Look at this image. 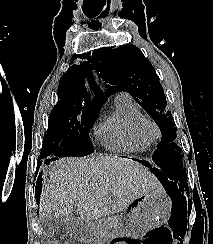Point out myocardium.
<instances>
[{
  "label": "myocardium",
  "instance_id": "f54148a6",
  "mask_svg": "<svg viewBox=\"0 0 213 244\" xmlns=\"http://www.w3.org/2000/svg\"><path fill=\"white\" fill-rule=\"evenodd\" d=\"M137 131L141 137L151 143L158 142L162 137L159 125L152 119L141 120L137 125Z\"/></svg>",
  "mask_w": 213,
  "mask_h": 244
}]
</instances>
